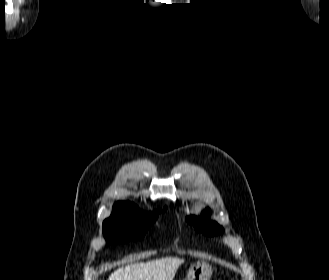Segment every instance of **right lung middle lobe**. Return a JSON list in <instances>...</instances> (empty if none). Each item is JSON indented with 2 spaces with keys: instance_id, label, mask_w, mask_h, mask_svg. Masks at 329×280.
<instances>
[{
  "instance_id": "obj_1",
  "label": "right lung middle lobe",
  "mask_w": 329,
  "mask_h": 280,
  "mask_svg": "<svg viewBox=\"0 0 329 280\" xmlns=\"http://www.w3.org/2000/svg\"><path fill=\"white\" fill-rule=\"evenodd\" d=\"M157 212L141 213L126 207L114 206L110 218L103 222V234L109 244L142 238L156 220Z\"/></svg>"
}]
</instances>
